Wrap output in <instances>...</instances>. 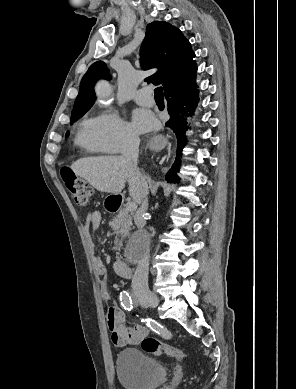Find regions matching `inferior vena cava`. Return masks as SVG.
<instances>
[{"label":"inferior vena cava","instance_id":"obj_1","mask_svg":"<svg viewBox=\"0 0 296 389\" xmlns=\"http://www.w3.org/2000/svg\"><path fill=\"white\" fill-rule=\"evenodd\" d=\"M139 143H140V138L137 134L128 133L124 140L122 154L129 162L132 174L137 176L142 182L143 198L141 201V206L138 209L135 217V223L138 229L142 232L146 224L144 214L148 210V198H147L148 187H147L145 177L139 172V169L137 168V161L139 155ZM148 269H149V260L148 258H144L139 262L134 277L132 279L133 292L140 302H143L153 297L148 287Z\"/></svg>","mask_w":296,"mask_h":389}]
</instances>
